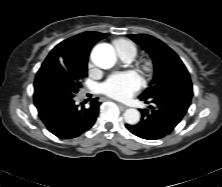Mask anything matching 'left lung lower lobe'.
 Returning a JSON list of instances; mask_svg holds the SVG:
<instances>
[{"label":"left lung lower lobe","mask_w":222,"mask_h":187,"mask_svg":"<svg viewBox=\"0 0 222 187\" xmlns=\"http://www.w3.org/2000/svg\"><path fill=\"white\" fill-rule=\"evenodd\" d=\"M175 93L178 95L175 96ZM192 95V85H185L177 92L166 90L152 99L139 98L146 103H154L155 107L150 106L151 112L147 109L140 110L142 119L137 125L125 126L131 133L143 139L162 138L171 133L181 121L190 106Z\"/></svg>","instance_id":"1"}]
</instances>
